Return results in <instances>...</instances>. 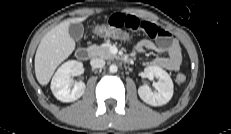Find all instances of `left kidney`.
<instances>
[{"label": "left kidney", "instance_id": "1", "mask_svg": "<svg viewBox=\"0 0 231 134\" xmlns=\"http://www.w3.org/2000/svg\"><path fill=\"white\" fill-rule=\"evenodd\" d=\"M147 78H158L154 83L153 91L148 85H142L138 88L139 97L147 104L152 106H161L170 101L173 96V82L169 74L158 66H148L144 69Z\"/></svg>", "mask_w": 231, "mask_h": 134}]
</instances>
